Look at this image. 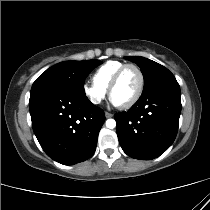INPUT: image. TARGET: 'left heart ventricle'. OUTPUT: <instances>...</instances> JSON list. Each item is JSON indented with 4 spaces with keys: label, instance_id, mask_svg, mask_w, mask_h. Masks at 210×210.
<instances>
[{
    "label": "left heart ventricle",
    "instance_id": "left-heart-ventricle-1",
    "mask_svg": "<svg viewBox=\"0 0 210 210\" xmlns=\"http://www.w3.org/2000/svg\"><path fill=\"white\" fill-rule=\"evenodd\" d=\"M140 84L138 72L133 68H127L112 92L111 99L122 105L130 101L136 94Z\"/></svg>",
    "mask_w": 210,
    "mask_h": 210
}]
</instances>
